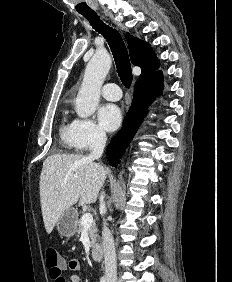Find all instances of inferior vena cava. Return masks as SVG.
Masks as SVG:
<instances>
[{
	"mask_svg": "<svg viewBox=\"0 0 232 282\" xmlns=\"http://www.w3.org/2000/svg\"><path fill=\"white\" fill-rule=\"evenodd\" d=\"M106 134L103 131H99L96 136L92 146V151L87 156V160L94 161L101 158L105 144H106ZM105 193L101 192L100 195V210L103 214L106 213V205L104 202ZM102 240L104 248V263H105V276L107 282H115L117 271H116V252L113 236L110 230L107 227L106 220L103 219V228H102Z\"/></svg>",
	"mask_w": 232,
	"mask_h": 282,
	"instance_id": "1",
	"label": "inferior vena cava"
}]
</instances>
